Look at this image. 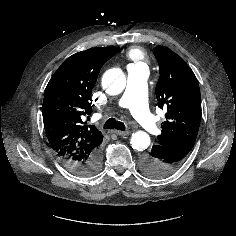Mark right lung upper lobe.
I'll return each mask as SVG.
<instances>
[{"mask_svg": "<svg viewBox=\"0 0 236 236\" xmlns=\"http://www.w3.org/2000/svg\"><path fill=\"white\" fill-rule=\"evenodd\" d=\"M118 47H96L70 56L51 77L43 99V122L50 147L64 162L87 160L103 141L102 133L87 125L91 93L104 63Z\"/></svg>", "mask_w": 236, "mask_h": 236, "instance_id": "right-lung-upper-lobe-1", "label": "right lung upper lobe"}]
</instances>
